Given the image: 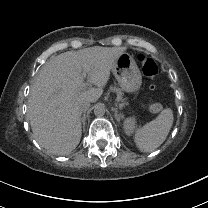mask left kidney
Listing matches in <instances>:
<instances>
[{
  "instance_id": "1",
  "label": "left kidney",
  "mask_w": 208,
  "mask_h": 208,
  "mask_svg": "<svg viewBox=\"0 0 208 208\" xmlns=\"http://www.w3.org/2000/svg\"><path fill=\"white\" fill-rule=\"evenodd\" d=\"M136 123L137 122L135 116L128 117L124 120L123 129L126 135L131 136L134 133L137 127Z\"/></svg>"
}]
</instances>
